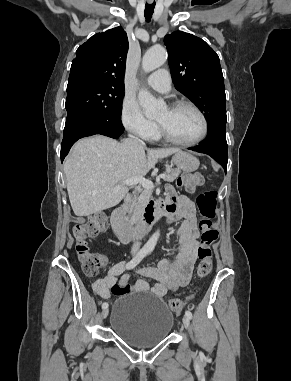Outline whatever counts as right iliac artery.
Listing matches in <instances>:
<instances>
[{
	"mask_svg": "<svg viewBox=\"0 0 291 381\" xmlns=\"http://www.w3.org/2000/svg\"><path fill=\"white\" fill-rule=\"evenodd\" d=\"M147 253H148L147 249H141L138 252V254L126 264V269H133L135 266H137L142 261V259L146 256ZM107 307H108V303L104 302L102 304V308L105 309Z\"/></svg>",
	"mask_w": 291,
	"mask_h": 381,
	"instance_id": "right-iliac-artery-1",
	"label": "right iliac artery"
}]
</instances>
